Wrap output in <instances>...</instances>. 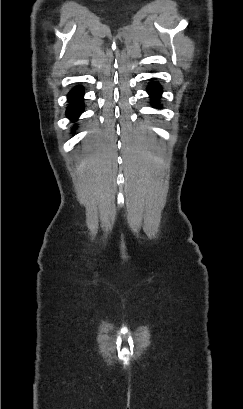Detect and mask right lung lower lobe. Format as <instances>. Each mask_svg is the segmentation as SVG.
I'll use <instances>...</instances> for the list:
<instances>
[{
	"mask_svg": "<svg viewBox=\"0 0 243 409\" xmlns=\"http://www.w3.org/2000/svg\"><path fill=\"white\" fill-rule=\"evenodd\" d=\"M70 105L67 108L66 115L71 120H76L82 113L83 105V88L81 86L74 87L68 94Z\"/></svg>",
	"mask_w": 243,
	"mask_h": 409,
	"instance_id": "1",
	"label": "right lung lower lobe"
}]
</instances>
